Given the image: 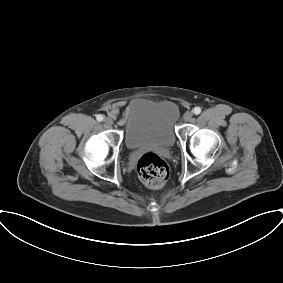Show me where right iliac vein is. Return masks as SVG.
Returning a JSON list of instances; mask_svg holds the SVG:
<instances>
[{
    "instance_id": "right-iliac-vein-1",
    "label": "right iliac vein",
    "mask_w": 283,
    "mask_h": 283,
    "mask_svg": "<svg viewBox=\"0 0 283 283\" xmlns=\"http://www.w3.org/2000/svg\"><path fill=\"white\" fill-rule=\"evenodd\" d=\"M104 124L105 125H107V126H112L113 125V120H112V118H110V117H106V118H104Z\"/></svg>"
}]
</instances>
